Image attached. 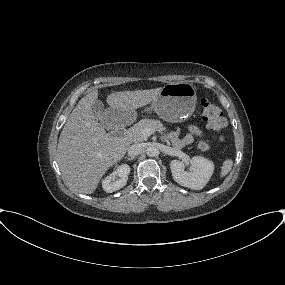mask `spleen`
I'll use <instances>...</instances> for the list:
<instances>
[{
    "label": "spleen",
    "mask_w": 285,
    "mask_h": 285,
    "mask_svg": "<svg viewBox=\"0 0 285 285\" xmlns=\"http://www.w3.org/2000/svg\"><path fill=\"white\" fill-rule=\"evenodd\" d=\"M233 161L231 159H226L221 167L220 177H225L232 169Z\"/></svg>",
    "instance_id": "obj_1"
}]
</instances>
